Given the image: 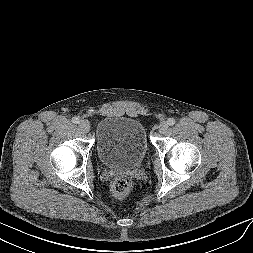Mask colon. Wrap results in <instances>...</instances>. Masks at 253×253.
I'll use <instances>...</instances> for the list:
<instances>
[{
  "label": "colon",
  "mask_w": 253,
  "mask_h": 253,
  "mask_svg": "<svg viewBox=\"0 0 253 253\" xmlns=\"http://www.w3.org/2000/svg\"><path fill=\"white\" fill-rule=\"evenodd\" d=\"M133 188V180L128 176L117 177L111 186L112 193L118 198H125Z\"/></svg>",
  "instance_id": "5ec220e1"
}]
</instances>
